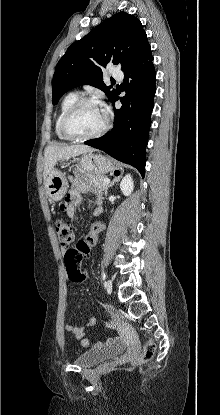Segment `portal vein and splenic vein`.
<instances>
[{
	"label": "portal vein and splenic vein",
	"instance_id": "18ae733b",
	"mask_svg": "<svg viewBox=\"0 0 220 415\" xmlns=\"http://www.w3.org/2000/svg\"><path fill=\"white\" fill-rule=\"evenodd\" d=\"M109 183H110V179L109 178L104 179V184H109Z\"/></svg>",
	"mask_w": 220,
	"mask_h": 415
}]
</instances>
